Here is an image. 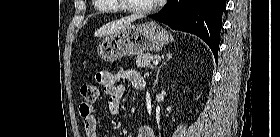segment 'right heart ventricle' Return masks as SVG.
Instances as JSON below:
<instances>
[{
  "mask_svg": "<svg viewBox=\"0 0 280 137\" xmlns=\"http://www.w3.org/2000/svg\"><path fill=\"white\" fill-rule=\"evenodd\" d=\"M109 0H95L96 2V9L103 14H112V13H119L117 7L108 5Z\"/></svg>",
  "mask_w": 280,
  "mask_h": 137,
  "instance_id": "e07e8e85",
  "label": "right heart ventricle"
}]
</instances>
